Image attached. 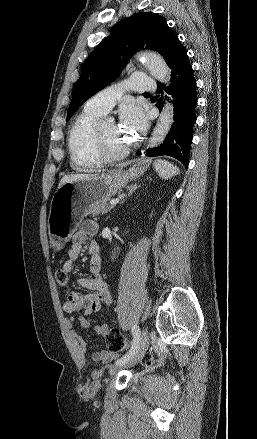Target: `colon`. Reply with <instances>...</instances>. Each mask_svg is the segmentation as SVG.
Here are the masks:
<instances>
[{
    "label": "colon",
    "instance_id": "1",
    "mask_svg": "<svg viewBox=\"0 0 257 439\" xmlns=\"http://www.w3.org/2000/svg\"><path fill=\"white\" fill-rule=\"evenodd\" d=\"M55 278H56V281L59 285L65 286L68 283L69 275L64 269L60 268L55 272ZM104 338H105V342H106V346L108 348V351H110V352H113V353L120 352V351L124 350L127 346V342H126L125 337L117 329L108 330V332L106 333ZM144 363L146 365H151L152 358L147 357L144 360Z\"/></svg>",
    "mask_w": 257,
    "mask_h": 439
}]
</instances>
